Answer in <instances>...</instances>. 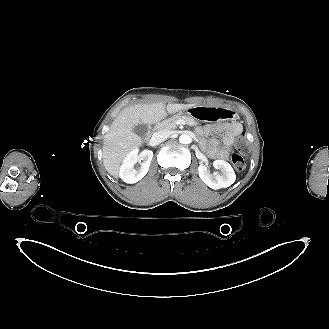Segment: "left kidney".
I'll return each instance as SVG.
<instances>
[{
    "mask_svg": "<svg viewBox=\"0 0 329 329\" xmlns=\"http://www.w3.org/2000/svg\"><path fill=\"white\" fill-rule=\"evenodd\" d=\"M215 169H219L221 174L215 172L211 174L205 165L198 167L200 179L212 189H220L231 186L236 179L235 172L231 165L223 160H215L213 162Z\"/></svg>",
    "mask_w": 329,
    "mask_h": 329,
    "instance_id": "left-kidney-1",
    "label": "left kidney"
}]
</instances>
